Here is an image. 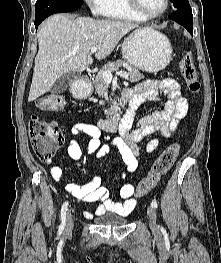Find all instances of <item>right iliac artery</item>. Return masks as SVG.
<instances>
[{"label": "right iliac artery", "mask_w": 221, "mask_h": 263, "mask_svg": "<svg viewBox=\"0 0 221 263\" xmlns=\"http://www.w3.org/2000/svg\"><path fill=\"white\" fill-rule=\"evenodd\" d=\"M68 210V202H65L61 207V224L59 226V230H63L66 222V212Z\"/></svg>", "instance_id": "1"}]
</instances>
